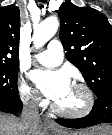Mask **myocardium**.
<instances>
[{"label":"myocardium","mask_w":112,"mask_h":135,"mask_svg":"<svg viewBox=\"0 0 112 135\" xmlns=\"http://www.w3.org/2000/svg\"><path fill=\"white\" fill-rule=\"evenodd\" d=\"M72 85L78 87L79 89H81L84 92L85 105L83 106V108H81L80 110H77V111H68V110H64L63 108L59 107L56 104V102L53 103L52 108H53L54 112H56L57 114H59L63 117H66V118H71V119L84 118V117L88 116L94 108L95 99H94L93 92L89 88V86H87L83 82L75 81L72 83Z\"/></svg>","instance_id":"f54148a6"}]
</instances>
